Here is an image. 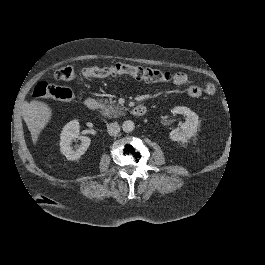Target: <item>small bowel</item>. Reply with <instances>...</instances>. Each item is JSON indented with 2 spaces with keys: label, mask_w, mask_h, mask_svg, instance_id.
Masks as SVG:
<instances>
[{
  "label": "small bowel",
  "mask_w": 265,
  "mask_h": 265,
  "mask_svg": "<svg viewBox=\"0 0 265 265\" xmlns=\"http://www.w3.org/2000/svg\"><path fill=\"white\" fill-rule=\"evenodd\" d=\"M175 85L182 86L189 82V77L186 73L178 72L173 76ZM215 92V87L210 82H200L190 84L187 88V94L192 98H198L203 94L212 95Z\"/></svg>",
  "instance_id": "c3829d8e"
}]
</instances>
